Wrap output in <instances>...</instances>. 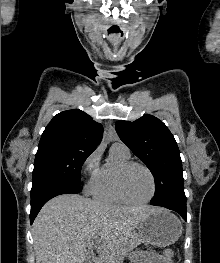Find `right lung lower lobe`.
I'll return each instance as SVG.
<instances>
[{"mask_svg":"<svg viewBox=\"0 0 220 263\" xmlns=\"http://www.w3.org/2000/svg\"><path fill=\"white\" fill-rule=\"evenodd\" d=\"M80 185L61 181H43L32 185L30 223L32 224L41 207L51 198L67 193H80Z\"/></svg>","mask_w":220,"mask_h":263,"instance_id":"right-lung-lower-lobe-1","label":"right lung lower lobe"}]
</instances>
